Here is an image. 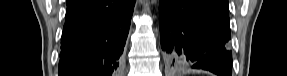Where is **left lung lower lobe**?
I'll return each mask as SVG.
<instances>
[{
  "mask_svg": "<svg viewBox=\"0 0 287 76\" xmlns=\"http://www.w3.org/2000/svg\"><path fill=\"white\" fill-rule=\"evenodd\" d=\"M162 50L170 63L231 76L228 10L209 0H160Z\"/></svg>",
  "mask_w": 287,
  "mask_h": 76,
  "instance_id": "left-lung-lower-lobe-1",
  "label": "left lung lower lobe"
}]
</instances>
